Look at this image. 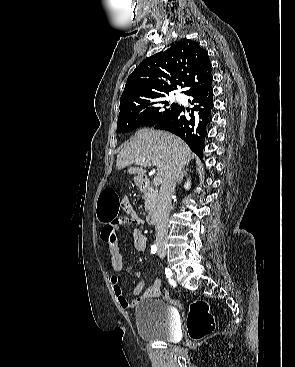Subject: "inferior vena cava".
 Returning <instances> with one entry per match:
<instances>
[{"label":"inferior vena cava","instance_id":"1","mask_svg":"<svg viewBox=\"0 0 295 367\" xmlns=\"http://www.w3.org/2000/svg\"><path fill=\"white\" fill-rule=\"evenodd\" d=\"M182 166L174 164L163 179L158 196L156 220V245L165 244L168 235V221L171 210V198L175 191L176 183L180 177Z\"/></svg>","mask_w":295,"mask_h":367}]
</instances>
